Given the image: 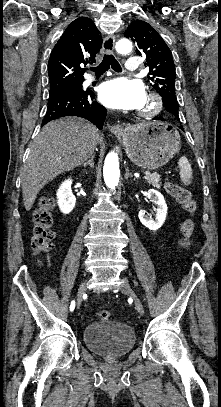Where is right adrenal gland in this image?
Here are the masks:
<instances>
[{"mask_svg":"<svg viewBox=\"0 0 221 407\" xmlns=\"http://www.w3.org/2000/svg\"><path fill=\"white\" fill-rule=\"evenodd\" d=\"M94 157L95 155H92L88 161H85L83 163V166L86 167L87 165H89L91 168H94Z\"/></svg>","mask_w":221,"mask_h":407,"instance_id":"right-adrenal-gland-1","label":"right adrenal gland"}]
</instances>
